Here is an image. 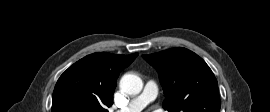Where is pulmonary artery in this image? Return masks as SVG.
<instances>
[{
  "instance_id": "e3ab8cb5",
  "label": "pulmonary artery",
  "mask_w": 270,
  "mask_h": 112,
  "mask_svg": "<svg viewBox=\"0 0 270 112\" xmlns=\"http://www.w3.org/2000/svg\"><path fill=\"white\" fill-rule=\"evenodd\" d=\"M158 93L154 81H148L140 95L133 98L127 105L116 112H141L149 103L155 100Z\"/></svg>"
}]
</instances>
